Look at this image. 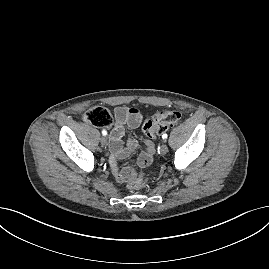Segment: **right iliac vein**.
<instances>
[{
	"label": "right iliac vein",
	"instance_id": "obj_1",
	"mask_svg": "<svg viewBox=\"0 0 269 269\" xmlns=\"http://www.w3.org/2000/svg\"><path fill=\"white\" fill-rule=\"evenodd\" d=\"M107 141H108V139H107L106 136H103V137H101V139H100V142H101V144H102L103 146L107 144Z\"/></svg>",
	"mask_w": 269,
	"mask_h": 269
}]
</instances>
